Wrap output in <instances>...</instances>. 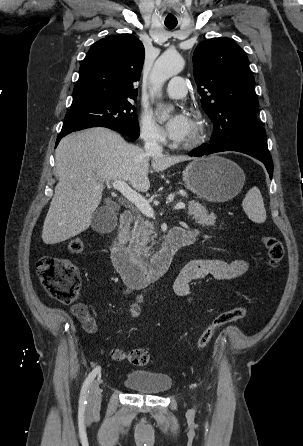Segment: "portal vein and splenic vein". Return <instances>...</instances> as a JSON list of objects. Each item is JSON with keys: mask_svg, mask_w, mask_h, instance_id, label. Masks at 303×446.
Segmentation results:
<instances>
[{"mask_svg": "<svg viewBox=\"0 0 303 446\" xmlns=\"http://www.w3.org/2000/svg\"><path fill=\"white\" fill-rule=\"evenodd\" d=\"M111 184L114 189L118 190L129 202L134 204L142 214L149 218L154 217V210L149 202L142 195L133 190L126 182L113 181ZM185 206V203L178 202L174 206V210L184 209Z\"/></svg>", "mask_w": 303, "mask_h": 446, "instance_id": "obj_1", "label": "portal vein and splenic vein"}]
</instances>
